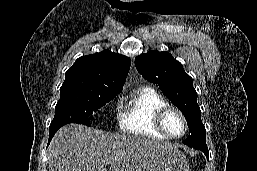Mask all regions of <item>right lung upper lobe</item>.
<instances>
[{"label":"right lung upper lobe","instance_id":"cb5924a9","mask_svg":"<svg viewBox=\"0 0 257 171\" xmlns=\"http://www.w3.org/2000/svg\"><path fill=\"white\" fill-rule=\"evenodd\" d=\"M130 68V59L104 50L78 58L66 71L64 87H94L121 92Z\"/></svg>","mask_w":257,"mask_h":171}]
</instances>
